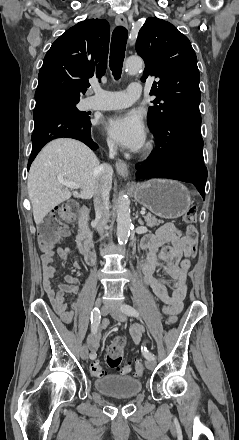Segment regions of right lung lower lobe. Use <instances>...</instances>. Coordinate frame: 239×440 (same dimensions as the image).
I'll return each mask as SVG.
<instances>
[{"mask_svg":"<svg viewBox=\"0 0 239 440\" xmlns=\"http://www.w3.org/2000/svg\"><path fill=\"white\" fill-rule=\"evenodd\" d=\"M33 118L35 122L32 134L33 147L28 167L41 148L56 138H74L84 142L92 150L99 148L91 138L90 117L80 118L63 104L57 102L37 103Z\"/></svg>","mask_w":239,"mask_h":440,"instance_id":"obj_1","label":"right lung lower lobe"}]
</instances>
